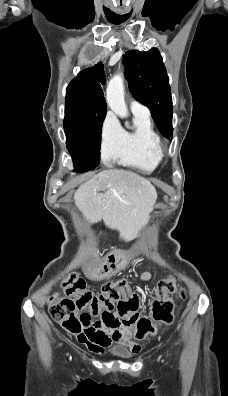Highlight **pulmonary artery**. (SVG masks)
Returning <instances> with one entry per match:
<instances>
[{"instance_id":"e3ab8cb5","label":"pulmonary artery","mask_w":228,"mask_h":396,"mask_svg":"<svg viewBox=\"0 0 228 396\" xmlns=\"http://www.w3.org/2000/svg\"><path fill=\"white\" fill-rule=\"evenodd\" d=\"M130 109L132 111L133 114H148L149 111L148 109L141 104L140 102L136 101V100H132L130 103Z\"/></svg>"}]
</instances>
